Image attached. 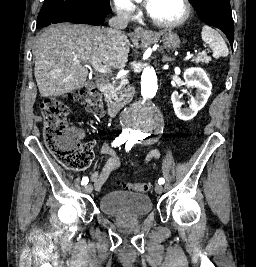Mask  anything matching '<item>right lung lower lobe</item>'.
I'll use <instances>...</instances> for the list:
<instances>
[{
  "mask_svg": "<svg viewBox=\"0 0 256 267\" xmlns=\"http://www.w3.org/2000/svg\"><path fill=\"white\" fill-rule=\"evenodd\" d=\"M103 15L94 14L92 12H84L79 15H53L49 18L44 19L41 22H37L39 28L50 25L51 23H60V22H73V23H83L90 25H101L104 23Z\"/></svg>",
  "mask_w": 256,
  "mask_h": 267,
  "instance_id": "1",
  "label": "right lung lower lobe"
}]
</instances>
